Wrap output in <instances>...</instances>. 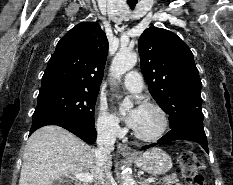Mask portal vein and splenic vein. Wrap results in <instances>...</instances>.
Here are the masks:
<instances>
[{
  "label": "portal vein and splenic vein",
  "mask_w": 233,
  "mask_h": 185,
  "mask_svg": "<svg viewBox=\"0 0 233 185\" xmlns=\"http://www.w3.org/2000/svg\"><path fill=\"white\" fill-rule=\"evenodd\" d=\"M76 180L82 181V182H86V183H92L94 181V178L92 175H90L89 173H79V174H75L74 175ZM156 181L155 178H148L146 180V182L148 183H154Z\"/></svg>",
  "instance_id": "18ae733b"
}]
</instances>
